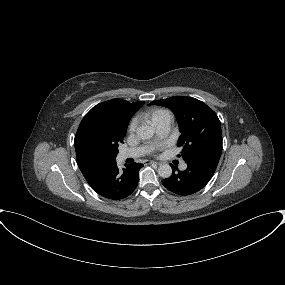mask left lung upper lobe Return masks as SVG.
<instances>
[{"label": "left lung upper lobe", "instance_id": "obj_1", "mask_svg": "<svg viewBox=\"0 0 285 285\" xmlns=\"http://www.w3.org/2000/svg\"><path fill=\"white\" fill-rule=\"evenodd\" d=\"M150 104L169 108L175 114L181 136L184 161L202 155L221 156L222 132L216 113L204 102L192 97L173 96Z\"/></svg>", "mask_w": 285, "mask_h": 285}]
</instances>
